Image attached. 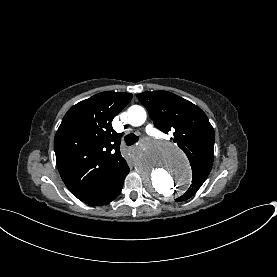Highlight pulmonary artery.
Instances as JSON below:
<instances>
[{
    "label": "pulmonary artery",
    "instance_id": "pulmonary-artery-1",
    "mask_svg": "<svg viewBox=\"0 0 277 277\" xmlns=\"http://www.w3.org/2000/svg\"><path fill=\"white\" fill-rule=\"evenodd\" d=\"M146 132L149 135H154V137H156V138H161L164 135V133L158 132L157 127L154 124L147 125Z\"/></svg>",
    "mask_w": 277,
    "mask_h": 277
}]
</instances>
